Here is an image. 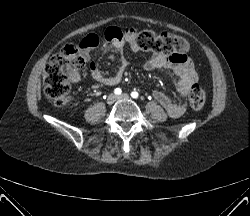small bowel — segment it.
Segmentation results:
<instances>
[{
  "label": "small bowel",
  "instance_id": "obj_1",
  "mask_svg": "<svg viewBox=\"0 0 250 216\" xmlns=\"http://www.w3.org/2000/svg\"><path fill=\"white\" fill-rule=\"evenodd\" d=\"M99 44V38L95 34L86 36L80 43V55L84 61L89 63L90 75L99 84L105 86H114L121 82L125 70L128 67V61L124 56L119 59V67L116 73L110 77L103 75L97 68L96 64L91 61V51ZM113 45L119 52H123L125 48L124 39H115ZM134 51L139 49L131 44ZM144 68L148 71L164 70L174 80L176 90L181 97H186L189 93L191 84L197 80V74L191 60L186 55H170L162 54L152 55L144 64ZM78 75L72 77L74 82L78 81ZM154 98L161 104L172 118H178L185 112V102H175L168 95L161 91L153 93Z\"/></svg>",
  "mask_w": 250,
  "mask_h": 216
}]
</instances>
